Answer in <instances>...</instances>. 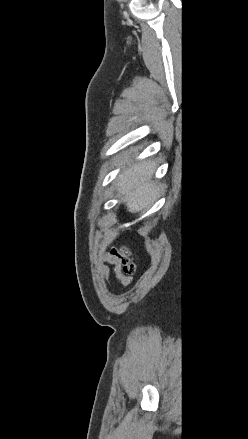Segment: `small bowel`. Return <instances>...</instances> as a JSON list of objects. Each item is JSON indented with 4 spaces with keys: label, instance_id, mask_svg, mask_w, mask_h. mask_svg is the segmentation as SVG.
<instances>
[{
    "label": "small bowel",
    "instance_id": "small-bowel-1",
    "mask_svg": "<svg viewBox=\"0 0 248 439\" xmlns=\"http://www.w3.org/2000/svg\"><path fill=\"white\" fill-rule=\"evenodd\" d=\"M101 260L113 266V273L115 278L118 280L122 286H128L132 280L136 271V266L134 263L123 253L116 249H112L109 252L103 253L101 255ZM110 268L108 265H104L101 268V275L106 284L110 289L111 284L109 281Z\"/></svg>",
    "mask_w": 248,
    "mask_h": 439
}]
</instances>
